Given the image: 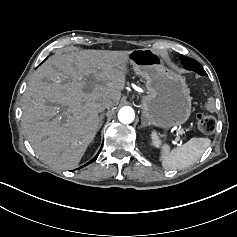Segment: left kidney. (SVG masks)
<instances>
[{"label": "left kidney", "instance_id": "5707ae66", "mask_svg": "<svg viewBox=\"0 0 237 237\" xmlns=\"http://www.w3.org/2000/svg\"><path fill=\"white\" fill-rule=\"evenodd\" d=\"M152 137L154 145H158L159 144L158 136L155 133H153Z\"/></svg>", "mask_w": 237, "mask_h": 237}]
</instances>
